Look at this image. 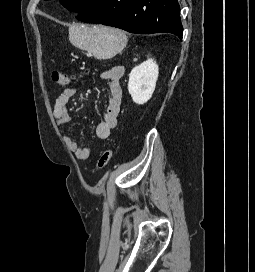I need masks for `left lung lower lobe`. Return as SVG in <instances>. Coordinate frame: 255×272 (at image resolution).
I'll list each match as a JSON object with an SVG mask.
<instances>
[{"instance_id":"1","label":"left lung lower lobe","mask_w":255,"mask_h":272,"mask_svg":"<svg viewBox=\"0 0 255 272\" xmlns=\"http://www.w3.org/2000/svg\"><path fill=\"white\" fill-rule=\"evenodd\" d=\"M177 0H98L76 18L137 34L172 33L182 39Z\"/></svg>"}]
</instances>
